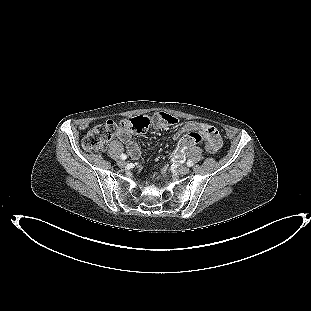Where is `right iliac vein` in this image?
<instances>
[{
    "mask_svg": "<svg viewBox=\"0 0 311 311\" xmlns=\"http://www.w3.org/2000/svg\"><path fill=\"white\" fill-rule=\"evenodd\" d=\"M118 165H119L120 167H124V166H126V162L120 160V161H118Z\"/></svg>",
    "mask_w": 311,
    "mask_h": 311,
    "instance_id": "right-iliac-vein-1",
    "label": "right iliac vein"
}]
</instances>
